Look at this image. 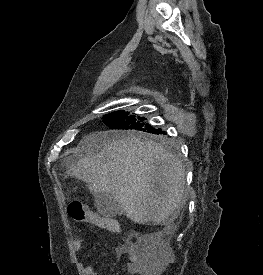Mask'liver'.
<instances>
[{"label":"liver","instance_id":"liver-1","mask_svg":"<svg viewBox=\"0 0 263 275\" xmlns=\"http://www.w3.org/2000/svg\"><path fill=\"white\" fill-rule=\"evenodd\" d=\"M71 173L93 194L109 193L138 224L172 227L186 197L182 163L162 145L116 132H94L80 143Z\"/></svg>","mask_w":263,"mask_h":275}]
</instances>
